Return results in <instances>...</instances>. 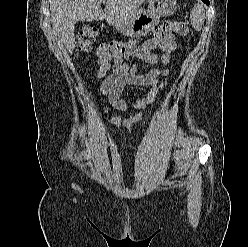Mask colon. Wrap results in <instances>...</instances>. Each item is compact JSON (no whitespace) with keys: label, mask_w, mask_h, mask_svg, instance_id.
I'll return each mask as SVG.
<instances>
[{"label":"colon","mask_w":248,"mask_h":247,"mask_svg":"<svg viewBox=\"0 0 248 247\" xmlns=\"http://www.w3.org/2000/svg\"><path fill=\"white\" fill-rule=\"evenodd\" d=\"M173 32L180 35H187L189 27L186 23L181 21H165L154 29L153 36L164 37ZM96 36L97 30L95 27H84L78 35V50L81 52L89 51L92 48ZM128 45L129 43L118 41L104 43L98 48V58L101 60L111 53L122 52L128 47Z\"/></svg>","instance_id":"obj_1"}]
</instances>
